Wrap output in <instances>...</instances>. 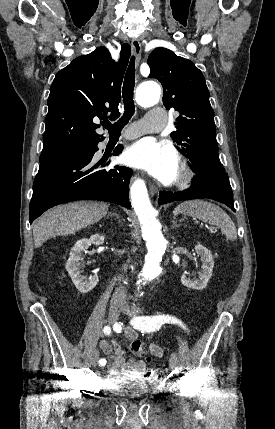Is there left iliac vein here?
<instances>
[{
    "mask_svg": "<svg viewBox=\"0 0 275 429\" xmlns=\"http://www.w3.org/2000/svg\"><path fill=\"white\" fill-rule=\"evenodd\" d=\"M123 313L129 315V316H138L141 313V309L137 306H129V305H125L122 308ZM169 363L171 368L175 369L178 365V355L176 353H172L170 358H169Z\"/></svg>",
    "mask_w": 275,
    "mask_h": 429,
    "instance_id": "1",
    "label": "left iliac vein"
}]
</instances>
